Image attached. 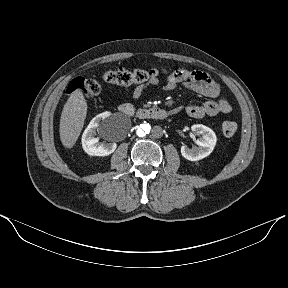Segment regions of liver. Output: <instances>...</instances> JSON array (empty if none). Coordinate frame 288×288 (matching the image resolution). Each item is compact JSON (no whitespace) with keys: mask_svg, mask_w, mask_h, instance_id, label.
Masks as SVG:
<instances>
[{"mask_svg":"<svg viewBox=\"0 0 288 288\" xmlns=\"http://www.w3.org/2000/svg\"><path fill=\"white\" fill-rule=\"evenodd\" d=\"M87 114V103L81 90H75L64 105L60 119V140L64 147L76 143Z\"/></svg>","mask_w":288,"mask_h":288,"instance_id":"obj_1","label":"liver"}]
</instances>
